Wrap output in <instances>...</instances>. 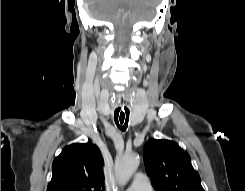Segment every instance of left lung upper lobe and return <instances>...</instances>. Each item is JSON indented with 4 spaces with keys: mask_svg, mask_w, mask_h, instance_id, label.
<instances>
[{
    "mask_svg": "<svg viewBox=\"0 0 245 191\" xmlns=\"http://www.w3.org/2000/svg\"><path fill=\"white\" fill-rule=\"evenodd\" d=\"M144 162L157 191H204L189 154L174 141H147Z\"/></svg>",
    "mask_w": 245,
    "mask_h": 191,
    "instance_id": "obj_1",
    "label": "left lung upper lobe"
}]
</instances>
